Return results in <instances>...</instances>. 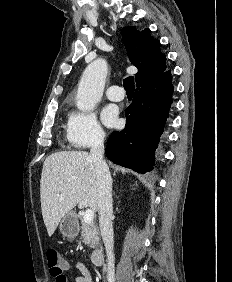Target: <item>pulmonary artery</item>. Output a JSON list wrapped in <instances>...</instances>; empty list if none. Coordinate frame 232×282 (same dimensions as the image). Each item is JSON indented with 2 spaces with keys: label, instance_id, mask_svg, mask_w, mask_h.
<instances>
[{
  "label": "pulmonary artery",
  "instance_id": "pulmonary-artery-1",
  "mask_svg": "<svg viewBox=\"0 0 232 282\" xmlns=\"http://www.w3.org/2000/svg\"><path fill=\"white\" fill-rule=\"evenodd\" d=\"M106 96L111 101H121L124 98V91L118 85H112L107 88Z\"/></svg>",
  "mask_w": 232,
  "mask_h": 282
}]
</instances>
